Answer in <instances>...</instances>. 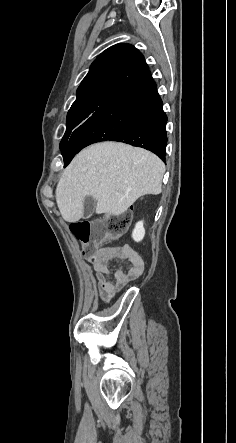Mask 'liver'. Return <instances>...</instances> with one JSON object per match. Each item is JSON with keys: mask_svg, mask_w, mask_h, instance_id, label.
Here are the masks:
<instances>
[{"mask_svg": "<svg viewBox=\"0 0 236 443\" xmlns=\"http://www.w3.org/2000/svg\"><path fill=\"white\" fill-rule=\"evenodd\" d=\"M165 165L155 154L117 142L91 145L63 171L56 202L63 219L83 216L86 196L96 199V213L118 216L139 197L162 192Z\"/></svg>", "mask_w": 236, "mask_h": 443, "instance_id": "obj_1", "label": "liver"}]
</instances>
